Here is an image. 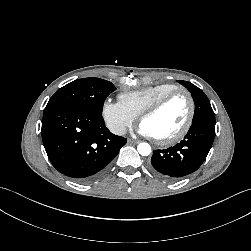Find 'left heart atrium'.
I'll return each instance as SVG.
<instances>
[{
	"label": "left heart atrium",
	"instance_id": "39dd6f15",
	"mask_svg": "<svg viewBox=\"0 0 251 251\" xmlns=\"http://www.w3.org/2000/svg\"><path fill=\"white\" fill-rule=\"evenodd\" d=\"M138 130H139V133L143 136L153 137L151 132L147 129V127H145L142 124H140Z\"/></svg>",
	"mask_w": 251,
	"mask_h": 251
}]
</instances>
